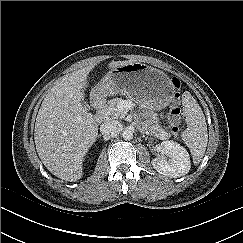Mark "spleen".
Returning a JSON list of instances; mask_svg holds the SVG:
<instances>
[{"mask_svg":"<svg viewBox=\"0 0 243 243\" xmlns=\"http://www.w3.org/2000/svg\"><path fill=\"white\" fill-rule=\"evenodd\" d=\"M182 105L187 123V128L182 133V139L190 149L194 163L198 164L204 156L208 142L205 116L197 101L188 91L182 95Z\"/></svg>","mask_w":243,"mask_h":243,"instance_id":"1","label":"spleen"}]
</instances>
